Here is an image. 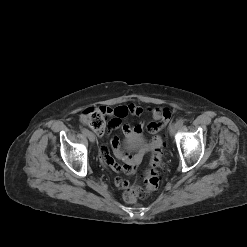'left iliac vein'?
Masks as SVG:
<instances>
[{
    "label": "left iliac vein",
    "mask_w": 247,
    "mask_h": 247,
    "mask_svg": "<svg viewBox=\"0 0 247 247\" xmlns=\"http://www.w3.org/2000/svg\"><path fill=\"white\" fill-rule=\"evenodd\" d=\"M179 127H180V126L178 125L177 122L171 124L170 127H169V132H170V134H171V135H174L175 132L178 130Z\"/></svg>",
    "instance_id": "obj_1"
}]
</instances>
